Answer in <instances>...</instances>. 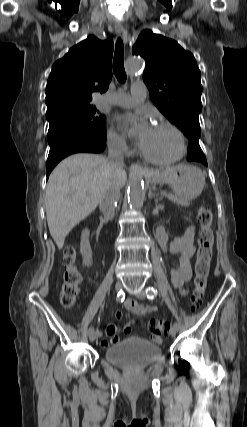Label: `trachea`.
I'll list each match as a JSON object with an SVG mask.
<instances>
[{"instance_id":"1","label":"trachea","mask_w":247,"mask_h":427,"mask_svg":"<svg viewBox=\"0 0 247 427\" xmlns=\"http://www.w3.org/2000/svg\"><path fill=\"white\" fill-rule=\"evenodd\" d=\"M124 57V46L121 38H118L115 47V54L113 59V72L120 83L126 81V72L123 63Z\"/></svg>"}]
</instances>
